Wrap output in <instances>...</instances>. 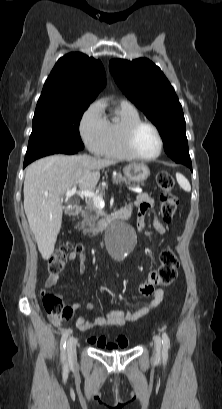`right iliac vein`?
Segmentation results:
<instances>
[{
	"instance_id": "1",
	"label": "right iliac vein",
	"mask_w": 222,
	"mask_h": 409,
	"mask_svg": "<svg viewBox=\"0 0 222 409\" xmlns=\"http://www.w3.org/2000/svg\"><path fill=\"white\" fill-rule=\"evenodd\" d=\"M76 344L77 339L74 337H70L67 341V357L71 363L76 360Z\"/></svg>"
}]
</instances>
